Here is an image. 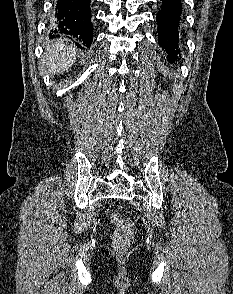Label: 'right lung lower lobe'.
Returning a JSON list of instances; mask_svg holds the SVG:
<instances>
[{
    "label": "right lung lower lobe",
    "instance_id": "1",
    "mask_svg": "<svg viewBox=\"0 0 233 294\" xmlns=\"http://www.w3.org/2000/svg\"><path fill=\"white\" fill-rule=\"evenodd\" d=\"M91 0H57L50 22V36L62 35L80 48L90 47L93 41L91 23Z\"/></svg>",
    "mask_w": 233,
    "mask_h": 294
}]
</instances>
